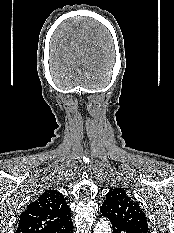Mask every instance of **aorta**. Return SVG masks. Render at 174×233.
<instances>
[{
	"instance_id": "obj_1",
	"label": "aorta",
	"mask_w": 174,
	"mask_h": 233,
	"mask_svg": "<svg viewBox=\"0 0 174 233\" xmlns=\"http://www.w3.org/2000/svg\"><path fill=\"white\" fill-rule=\"evenodd\" d=\"M94 233H111L110 222L106 219H101L94 227Z\"/></svg>"
}]
</instances>
